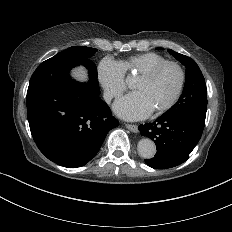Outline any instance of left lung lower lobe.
Instances as JSON below:
<instances>
[{"mask_svg": "<svg viewBox=\"0 0 232 232\" xmlns=\"http://www.w3.org/2000/svg\"><path fill=\"white\" fill-rule=\"evenodd\" d=\"M203 128L178 115H161L152 123L139 126L143 136L152 139L157 148L155 157L145 159L154 169H168L185 162L199 142Z\"/></svg>", "mask_w": 232, "mask_h": 232, "instance_id": "left-lung-lower-lobe-1", "label": "left lung lower lobe"}]
</instances>
